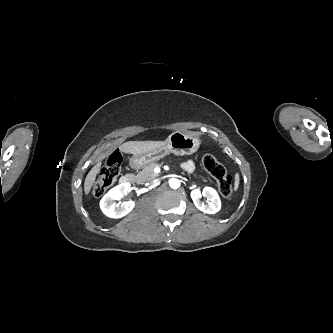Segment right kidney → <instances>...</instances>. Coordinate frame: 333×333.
Returning <instances> with one entry per match:
<instances>
[{
  "mask_svg": "<svg viewBox=\"0 0 333 333\" xmlns=\"http://www.w3.org/2000/svg\"><path fill=\"white\" fill-rule=\"evenodd\" d=\"M130 183H121L112 188L107 194L103 196L100 201V208L102 212L110 218H121L127 215L135 206V201L123 202L120 206L114 202L123 196L127 195L130 189Z\"/></svg>",
  "mask_w": 333,
  "mask_h": 333,
  "instance_id": "ca27d5eb",
  "label": "right kidney"
}]
</instances>
